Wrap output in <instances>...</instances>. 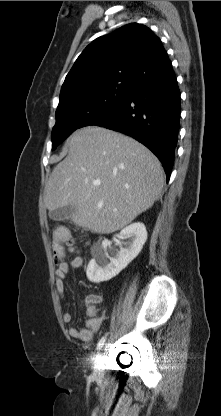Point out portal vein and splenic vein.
Wrapping results in <instances>:
<instances>
[{
	"mask_svg": "<svg viewBox=\"0 0 221 416\" xmlns=\"http://www.w3.org/2000/svg\"><path fill=\"white\" fill-rule=\"evenodd\" d=\"M95 185H100V182H95Z\"/></svg>",
	"mask_w": 221,
	"mask_h": 416,
	"instance_id": "1",
	"label": "portal vein and splenic vein"
}]
</instances>
